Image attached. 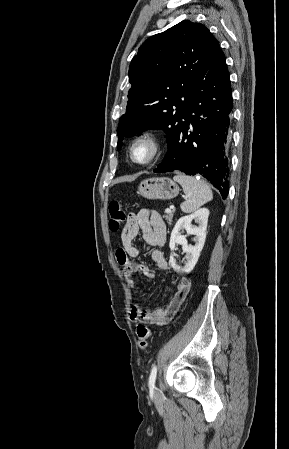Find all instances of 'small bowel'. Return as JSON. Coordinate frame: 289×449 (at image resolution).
I'll return each mask as SVG.
<instances>
[{
  "instance_id": "small-bowel-1",
  "label": "small bowel",
  "mask_w": 289,
  "mask_h": 449,
  "mask_svg": "<svg viewBox=\"0 0 289 449\" xmlns=\"http://www.w3.org/2000/svg\"><path fill=\"white\" fill-rule=\"evenodd\" d=\"M142 235V246L135 245L138 233ZM166 225L159 213L150 209H142L137 214L130 215L121 233L122 247L116 250V260L122 267L126 281L135 286L133 276L136 273L146 278H154V271L148 266L138 263V257L143 249L151 251V258L161 270H168L169 263L164 253L159 249L166 242ZM190 289V281L182 278L178 281L176 291L165 308L144 311L140 305H134L130 318L135 323L163 326L167 324L179 310Z\"/></svg>"
}]
</instances>
